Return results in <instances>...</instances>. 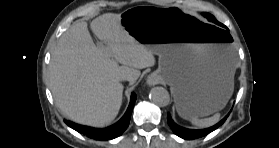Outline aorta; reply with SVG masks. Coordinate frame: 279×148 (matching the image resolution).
I'll return each instance as SVG.
<instances>
[{"mask_svg": "<svg viewBox=\"0 0 279 148\" xmlns=\"http://www.w3.org/2000/svg\"><path fill=\"white\" fill-rule=\"evenodd\" d=\"M150 99L160 107H165L170 103V95L163 87L152 88L150 91Z\"/></svg>", "mask_w": 279, "mask_h": 148, "instance_id": "aorta-1", "label": "aorta"}]
</instances>
